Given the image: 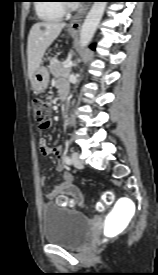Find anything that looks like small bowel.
Masks as SVG:
<instances>
[{"label": "small bowel", "mask_w": 158, "mask_h": 275, "mask_svg": "<svg viewBox=\"0 0 158 275\" xmlns=\"http://www.w3.org/2000/svg\"><path fill=\"white\" fill-rule=\"evenodd\" d=\"M57 88L62 89L63 87H68V84L63 80L59 79L56 82ZM51 121L48 120L47 128L50 127ZM38 146L41 154L43 156L54 155L58 162L56 165L57 171H62L64 168V163L62 161V148L60 146L51 147L48 145L45 139L40 138L38 140ZM40 185H44L46 183V177L41 176L39 178ZM61 195H67L72 197V199L79 205L83 204V198L79 191V189L73 185L72 183V175L70 173H65L63 175V180L61 183L55 185L51 190L46 193V198L49 200L55 199Z\"/></svg>", "instance_id": "c3829d8e"}]
</instances>
